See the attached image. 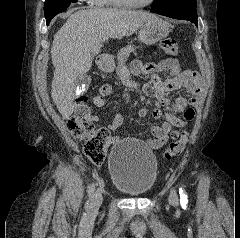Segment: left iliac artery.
Returning <instances> with one entry per match:
<instances>
[{"instance_id":"1","label":"left iliac artery","mask_w":240,"mask_h":238,"mask_svg":"<svg viewBox=\"0 0 240 238\" xmlns=\"http://www.w3.org/2000/svg\"><path fill=\"white\" fill-rule=\"evenodd\" d=\"M179 194H180V203H181L182 207H186L187 195H186V191L182 187L180 188Z\"/></svg>"}]
</instances>
